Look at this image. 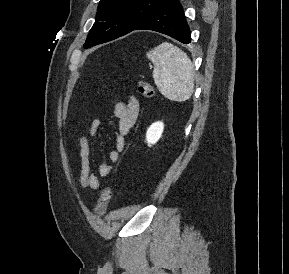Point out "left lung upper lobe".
Wrapping results in <instances>:
<instances>
[{
  "instance_id": "5c2ea615",
  "label": "left lung upper lobe",
  "mask_w": 289,
  "mask_h": 274,
  "mask_svg": "<svg viewBox=\"0 0 289 274\" xmlns=\"http://www.w3.org/2000/svg\"><path fill=\"white\" fill-rule=\"evenodd\" d=\"M167 0H101L85 48L133 31Z\"/></svg>"
}]
</instances>
